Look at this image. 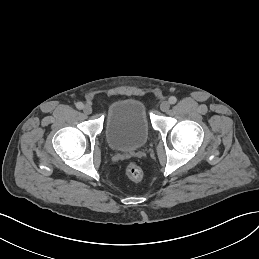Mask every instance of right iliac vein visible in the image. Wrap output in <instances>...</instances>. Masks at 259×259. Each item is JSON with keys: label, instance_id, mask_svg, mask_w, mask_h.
<instances>
[{"label": "right iliac vein", "instance_id": "63e3f726", "mask_svg": "<svg viewBox=\"0 0 259 259\" xmlns=\"http://www.w3.org/2000/svg\"><path fill=\"white\" fill-rule=\"evenodd\" d=\"M83 112L87 115L91 114L92 113V107L90 105H85L83 107Z\"/></svg>", "mask_w": 259, "mask_h": 259}]
</instances>
